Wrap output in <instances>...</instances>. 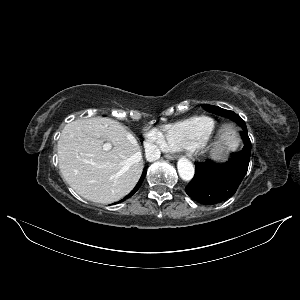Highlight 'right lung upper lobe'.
Masks as SVG:
<instances>
[{"instance_id": "cb5924a9", "label": "right lung upper lobe", "mask_w": 300, "mask_h": 300, "mask_svg": "<svg viewBox=\"0 0 300 300\" xmlns=\"http://www.w3.org/2000/svg\"><path fill=\"white\" fill-rule=\"evenodd\" d=\"M136 191H137V186H136L135 189L131 192V194H133V193L135 194ZM134 194H133V195H134Z\"/></svg>"}]
</instances>
